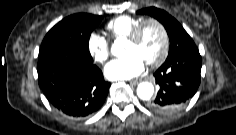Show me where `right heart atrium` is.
<instances>
[{"mask_svg": "<svg viewBox=\"0 0 236 135\" xmlns=\"http://www.w3.org/2000/svg\"><path fill=\"white\" fill-rule=\"evenodd\" d=\"M88 51L97 64H103L109 56V41L101 34L92 32L87 40Z\"/></svg>", "mask_w": 236, "mask_h": 135, "instance_id": "d8ad5b80", "label": "right heart atrium"}]
</instances>
